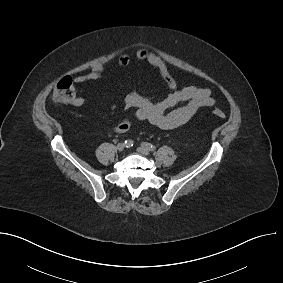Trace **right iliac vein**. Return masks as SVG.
<instances>
[{
    "label": "right iliac vein",
    "mask_w": 283,
    "mask_h": 283,
    "mask_svg": "<svg viewBox=\"0 0 283 283\" xmlns=\"http://www.w3.org/2000/svg\"><path fill=\"white\" fill-rule=\"evenodd\" d=\"M116 148H117L118 151L121 152L125 149V145H124V143H119V144H117Z\"/></svg>",
    "instance_id": "63e3f726"
}]
</instances>
